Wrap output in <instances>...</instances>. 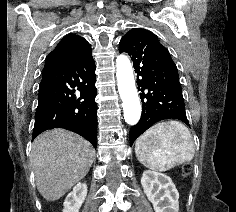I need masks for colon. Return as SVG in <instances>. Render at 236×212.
<instances>
[{
	"label": "colon",
	"mask_w": 236,
	"mask_h": 212,
	"mask_svg": "<svg viewBox=\"0 0 236 212\" xmlns=\"http://www.w3.org/2000/svg\"><path fill=\"white\" fill-rule=\"evenodd\" d=\"M190 170H191V167H190V165H186V166L184 167V170H183V172H184V174H185V175H187V174H189V173H190Z\"/></svg>",
	"instance_id": "colon-1"
}]
</instances>
